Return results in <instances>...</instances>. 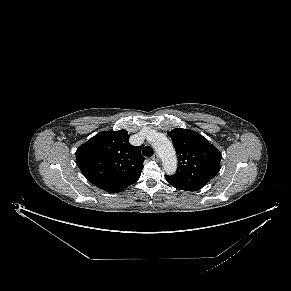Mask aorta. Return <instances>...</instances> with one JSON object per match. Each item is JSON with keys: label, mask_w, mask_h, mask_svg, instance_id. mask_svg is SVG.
<instances>
[{"label": "aorta", "mask_w": 291, "mask_h": 291, "mask_svg": "<svg viewBox=\"0 0 291 291\" xmlns=\"http://www.w3.org/2000/svg\"><path fill=\"white\" fill-rule=\"evenodd\" d=\"M149 142L160 156L164 171L168 175L174 174L177 168V157L170 140L163 133L153 131Z\"/></svg>", "instance_id": "aorta-1"}]
</instances>
